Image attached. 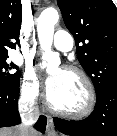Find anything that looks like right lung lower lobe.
Instances as JSON below:
<instances>
[{"label": "right lung lower lobe", "mask_w": 117, "mask_h": 136, "mask_svg": "<svg viewBox=\"0 0 117 136\" xmlns=\"http://www.w3.org/2000/svg\"><path fill=\"white\" fill-rule=\"evenodd\" d=\"M19 84L15 86H0V127L14 126L20 123L18 113ZM46 117L40 116L35 128L41 132L46 128Z\"/></svg>", "instance_id": "right-lung-lower-lobe-1"}]
</instances>
